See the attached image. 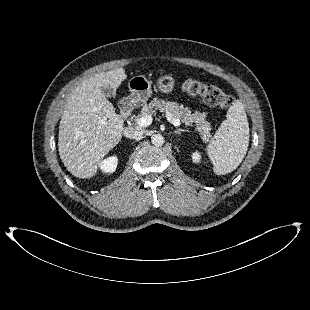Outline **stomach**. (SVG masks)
<instances>
[{
	"label": "stomach",
	"instance_id": "0dacf381",
	"mask_svg": "<svg viewBox=\"0 0 310 310\" xmlns=\"http://www.w3.org/2000/svg\"><path fill=\"white\" fill-rule=\"evenodd\" d=\"M152 83L145 76L138 75L130 79L128 86L134 103H144L152 95ZM175 87V80L171 74L161 75L157 80V88L163 94H169Z\"/></svg>",
	"mask_w": 310,
	"mask_h": 310
}]
</instances>
